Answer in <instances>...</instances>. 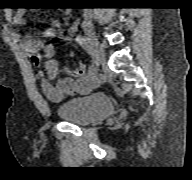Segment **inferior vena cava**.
<instances>
[{
	"instance_id": "1",
	"label": "inferior vena cava",
	"mask_w": 192,
	"mask_h": 180,
	"mask_svg": "<svg viewBox=\"0 0 192 180\" xmlns=\"http://www.w3.org/2000/svg\"><path fill=\"white\" fill-rule=\"evenodd\" d=\"M84 17L91 18V11L89 8L84 9Z\"/></svg>"
}]
</instances>
